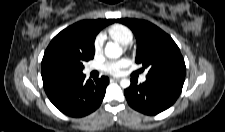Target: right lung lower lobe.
<instances>
[{
  "mask_svg": "<svg viewBox=\"0 0 225 132\" xmlns=\"http://www.w3.org/2000/svg\"><path fill=\"white\" fill-rule=\"evenodd\" d=\"M108 83V77L85 80V75L81 73L61 78L44 86V89L61 112L71 117H82L100 106Z\"/></svg>",
  "mask_w": 225,
  "mask_h": 132,
  "instance_id": "98d812e1",
  "label": "right lung lower lobe"
}]
</instances>
